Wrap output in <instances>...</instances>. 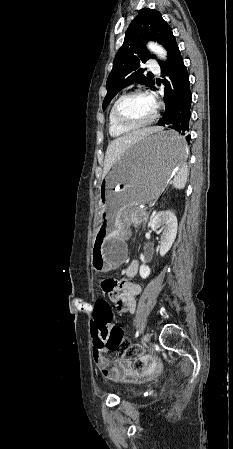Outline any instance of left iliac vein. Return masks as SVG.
Instances as JSON below:
<instances>
[{
  "instance_id": "obj_1",
  "label": "left iliac vein",
  "mask_w": 233,
  "mask_h": 449,
  "mask_svg": "<svg viewBox=\"0 0 233 449\" xmlns=\"http://www.w3.org/2000/svg\"><path fill=\"white\" fill-rule=\"evenodd\" d=\"M150 339H151V333L150 332L145 333L143 340H142L143 345H146L150 341Z\"/></svg>"
}]
</instances>
